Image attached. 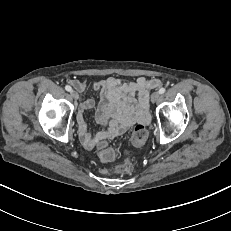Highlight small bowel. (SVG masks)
I'll return each instance as SVG.
<instances>
[{
	"mask_svg": "<svg viewBox=\"0 0 231 231\" xmlns=\"http://www.w3.org/2000/svg\"><path fill=\"white\" fill-rule=\"evenodd\" d=\"M71 85L82 92L86 84L80 80H70ZM161 85L159 79L139 77L127 80L122 77H106L92 82L94 90L100 94V101L95 113L96 121L105 127L92 135L88 130L85 112L94 107L93 99L80 104L77 114L78 133L82 145L93 149L106 139L123 133L135 123H147L149 117V91Z\"/></svg>",
	"mask_w": 231,
	"mask_h": 231,
	"instance_id": "obj_1",
	"label": "small bowel"
}]
</instances>
